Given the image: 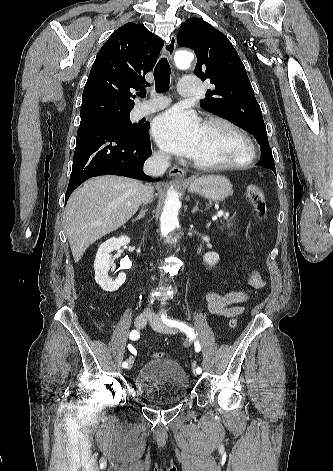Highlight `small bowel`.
<instances>
[{
    "instance_id": "1",
    "label": "small bowel",
    "mask_w": 333,
    "mask_h": 471,
    "mask_svg": "<svg viewBox=\"0 0 333 471\" xmlns=\"http://www.w3.org/2000/svg\"><path fill=\"white\" fill-rule=\"evenodd\" d=\"M249 285L254 289H261L266 286L265 280L258 271H253L248 278ZM249 295L245 291H228L217 293L210 291L206 294L207 310L217 316L233 318L244 312L243 303L247 302Z\"/></svg>"
}]
</instances>
